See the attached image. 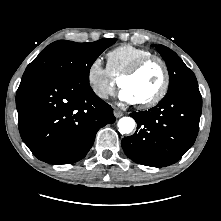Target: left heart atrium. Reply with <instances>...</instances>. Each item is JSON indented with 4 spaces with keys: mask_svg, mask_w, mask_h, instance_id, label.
Here are the masks:
<instances>
[{
    "mask_svg": "<svg viewBox=\"0 0 221 221\" xmlns=\"http://www.w3.org/2000/svg\"><path fill=\"white\" fill-rule=\"evenodd\" d=\"M119 98L121 101L125 102V103H128V104H134L136 103V100L135 98L132 96V94L126 90V89H123L120 91V94H119Z\"/></svg>",
    "mask_w": 221,
    "mask_h": 221,
    "instance_id": "1",
    "label": "left heart atrium"
}]
</instances>
